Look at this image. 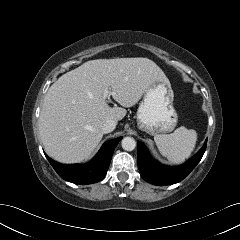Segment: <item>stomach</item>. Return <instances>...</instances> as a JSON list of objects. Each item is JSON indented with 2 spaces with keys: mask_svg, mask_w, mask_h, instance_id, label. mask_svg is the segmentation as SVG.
I'll use <instances>...</instances> for the list:
<instances>
[{
  "mask_svg": "<svg viewBox=\"0 0 240 240\" xmlns=\"http://www.w3.org/2000/svg\"><path fill=\"white\" fill-rule=\"evenodd\" d=\"M174 94L169 83L153 82L145 91L137 110V125L151 135L168 133L177 125Z\"/></svg>",
  "mask_w": 240,
  "mask_h": 240,
  "instance_id": "stomach-1",
  "label": "stomach"
}]
</instances>
